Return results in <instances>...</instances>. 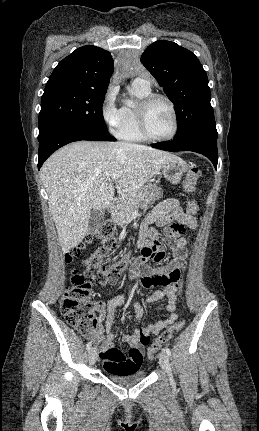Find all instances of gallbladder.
<instances>
[{"mask_svg":"<svg viewBox=\"0 0 259 431\" xmlns=\"http://www.w3.org/2000/svg\"><path fill=\"white\" fill-rule=\"evenodd\" d=\"M104 222V213L102 210H92L88 221V233L94 235Z\"/></svg>","mask_w":259,"mask_h":431,"instance_id":"gallbladder-1","label":"gallbladder"}]
</instances>
